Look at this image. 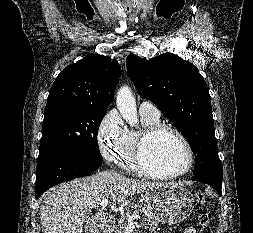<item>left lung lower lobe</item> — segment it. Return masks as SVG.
I'll use <instances>...</instances> for the list:
<instances>
[{"label":"left lung lower lobe","instance_id":"obj_1","mask_svg":"<svg viewBox=\"0 0 253 233\" xmlns=\"http://www.w3.org/2000/svg\"><path fill=\"white\" fill-rule=\"evenodd\" d=\"M222 177L223 176H219V175H216L213 173L205 172V173H200V174L194 175L192 177V180L204 182L209 185H212L216 189L218 194L221 195Z\"/></svg>","mask_w":253,"mask_h":233}]
</instances>
